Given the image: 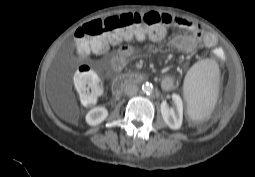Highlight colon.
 Returning <instances> with one entry per match:
<instances>
[{
    "label": "colon",
    "instance_id": "colon-1",
    "mask_svg": "<svg viewBox=\"0 0 255 177\" xmlns=\"http://www.w3.org/2000/svg\"><path fill=\"white\" fill-rule=\"evenodd\" d=\"M167 27L163 14L155 11L126 13L93 20L75 32V48L79 58L91 50L104 52L109 46L123 41L140 39L145 35L159 38ZM74 87L83 104H94L101 93L102 82L98 73L88 65H81L74 76Z\"/></svg>",
    "mask_w": 255,
    "mask_h": 177
}]
</instances>
